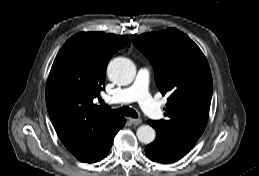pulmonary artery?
I'll return each mask as SVG.
<instances>
[{"mask_svg": "<svg viewBox=\"0 0 259 176\" xmlns=\"http://www.w3.org/2000/svg\"><path fill=\"white\" fill-rule=\"evenodd\" d=\"M149 71L146 68L139 69L132 85L119 90L116 94L108 96L106 101L112 104H123L138 101L143 111L153 119L162 117V110L148 91Z\"/></svg>", "mask_w": 259, "mask_h": 176, "instance_id": "1", "label": "pulmonary artery"}]
</instances>
